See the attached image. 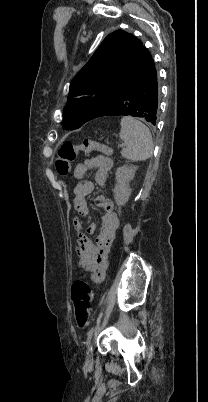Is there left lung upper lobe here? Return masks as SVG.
<instances>
[{"instance_id":"left-lung-upper-lobe-1","label":"left lung upper lobe","mask_w":208,"mask_h":402,"mask_svg":"<svg viewBox=\"0 0 208 402\" xmlns=\"http://www.w3.org/2000/svg\"><path fill=\"white\" fill-rule=\"evenodd\" d=\"M142 42L122 30L109 34L70 84L63 125L78 129L112 104L141 64Z\"/></svg>"}]
</instances>
